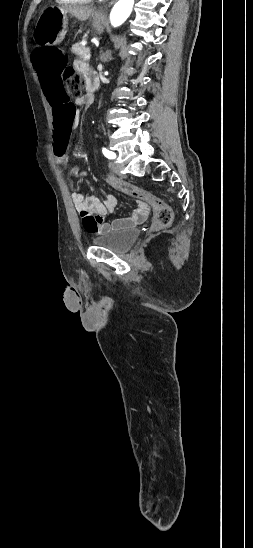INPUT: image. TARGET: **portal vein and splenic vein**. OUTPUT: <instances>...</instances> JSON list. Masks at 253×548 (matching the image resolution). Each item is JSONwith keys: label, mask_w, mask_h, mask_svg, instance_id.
I'll return each instance as SVG.
<instances>
[{"label": "portal vein and splenic vein", "mask_w": 253, "mask_h": 548, "mask_svg": "<svg viewBox=\"0 0 253 548\" xmlns=\"http://www.w3.org/2000/svg\"><path fill=\"white\" fill-rule=\"evenodd\" d=\"M91 54L90 52L84 56V60H90Z\"/></svg>", "instance_id": "obj_1"}]
</instances>
